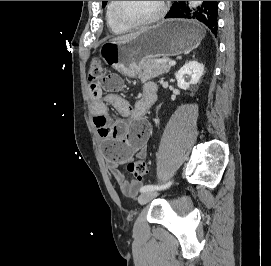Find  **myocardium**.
<instances>
[{
	"mask_svg": "<svg viewBox=\"0 0 271 266\" xmlns=\"http://www.w3.org/2000/svg\"><path fill=\"white\" fill-rule=\"evenodd\" d=\"M119 4H120V1H113V7H112L113 16L116 19V21H118L120 24L128 28L143 27V26L154 24L164 17L167 10L166 2L160 1L159 9L154 15L141 21H133L121 15L119 11Z\"/></svg>",
	"mask_w": 271,
	"mask_h": 266,
	"instance_id": "myocardium-1",
	"label": "myocardium"
}]
</instances>
